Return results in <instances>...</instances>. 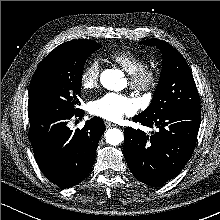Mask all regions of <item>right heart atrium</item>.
Returning <instances> with one entry per match:
<instances>
[{
	"instance_id": "d8ad5b80",
	"label": "right heart atrium",
	"mask_w": 220,
	"mask_h": 220,
	"mask_svg": "<svg viewBox=\"0 0 220 220\" xmlns=\"http://www.w3.org/2000/svg\"><path fill=\"white\" fill-rule=\"evenodd\" d=\"M100 63L98 60H91L82 70L80 75V85L85 91H90L97 87L100 77Z\"/></svg>"
}]
</instances>
